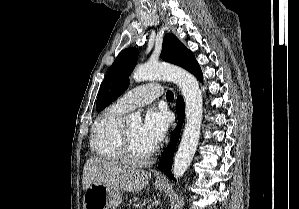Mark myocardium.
Returning a JSON list of instances; mask_svg holds the SVG:
<instances>
[{
	"label": "myocardium",
	"mask_w": 299,
	"mask_h": 209,
	"mask_svg": "<svg viewBox=\"0 0 299 209\" xmlns=\"http://www.w3.org/2000/svg\"><path fill=\"white\" fill-rule=\"evenodd\" d=\"M121 141H122V155L124 158V161L132 166L141 167L144 165H147L151 162L153 156H154V149L145 157L143 158H136L131 150V143L129 139V135L127 132L126 127H123L122 133H121Z\"/></svg>",
	"instance_id": "1"
}]
</instances>
